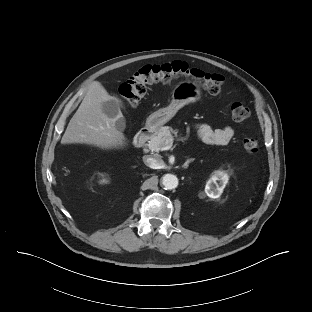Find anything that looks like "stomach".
<instances>
[{
  "label": "stomach",
  "instance_id": "0dacf381",
  "mask_svg": "<svg viewBox=\"0 0 312 312\" xmlns=\"http://www.w3.org/2000/svg\"><path fill=\"white\" fill-rule=\"evenodd\" d=\"M201 98V89L191 81H183L177 84L172 91L170 104L152 113L146 121L150 129H160L169 122L176 113L189 103L196 102Z\"/></svg>",
  "mask_w": 312,
  "mask_h": 312
}]
</instances>
